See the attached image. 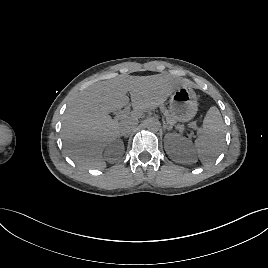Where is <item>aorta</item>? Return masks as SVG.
I'll list each match as a JSON object with an SVG mask.
<instances>
[{"label":"aorta","mask_w":268,"mask_h":268,"mask_svg":"<svg viewBox=\"0 0 268 268\" xmlns=\"http://www.w3.org/2000/svg\"><path fill=\"white\" fill-rule=\"evenodd\" d=\"M160 122L157 119L149 118L146 121V127L151 132H157L160 129Z\"/></svg>","instance_id":"1"}]
</instances>
